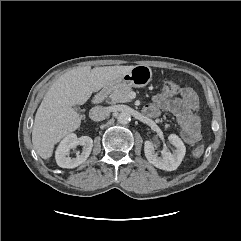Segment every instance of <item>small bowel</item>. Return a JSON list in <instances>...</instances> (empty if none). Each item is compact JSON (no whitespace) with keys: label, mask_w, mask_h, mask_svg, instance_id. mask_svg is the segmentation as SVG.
<instances>
[{"label":"small bowel","mask_w":241,"mask_h":241,"mask_svg":"<svg viewBox=\"0 0 241 241\" xmlns=\"http://www.w3.org/2000/svg\"><path fill=\"white\" fill-rule=\"evenodd\" d=\"M180 95V98L165 97L162 93L155 95L152 103L145 108V114L155 117L162 111L172 113L181 128L183 140L188 144H194L201 137L198 97L189 87L183 88Z\"/></svg>","instance_id":"1"}]
</instances>
